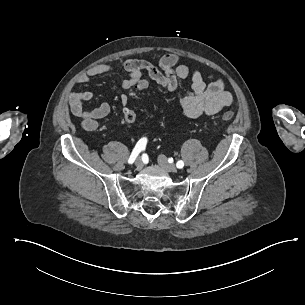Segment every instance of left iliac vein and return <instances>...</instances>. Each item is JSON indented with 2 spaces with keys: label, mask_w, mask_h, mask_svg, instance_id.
<instances>
[{
  "label": "left iliac vein",
  "mask_w": 305,
  "mask_h": 305,
  "mask_svg": "<svg viewBox=\"0 0 305 305\" xmlns=\"http://www.w3.org/2000/svg\"><path fill=\"white\" fill-rule=\"evenodd\" d=\"M158 164L166 172H176L177 171L176 166L173 165V164H169L164 155H159L158 156Z\"/></svg>",
  "instance_id": "4c4485c4"
}]
</instances>
